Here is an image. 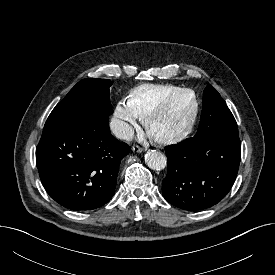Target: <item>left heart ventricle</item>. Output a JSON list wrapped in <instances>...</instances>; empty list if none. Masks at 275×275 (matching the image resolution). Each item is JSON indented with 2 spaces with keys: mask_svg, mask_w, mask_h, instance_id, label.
Listing matches in <instances>:
<instances>
[{
  "mask_svg": "<svg viewBox=\"0 0 275 275\" xmlns=\"http://www.w3.org/2000/svg\"><path fill=\"white\" fill-rule=\"evenodd\" d=\"M193 111V98L189 94L176 97L150 125L153 136L164 137L178 133L188 123Z\"/></svg>",
  "mask_w": 275,
  "mask_h": 275,
  "instance_id": "1",
  "label": "left heart ventricle"
}]
</instances>
